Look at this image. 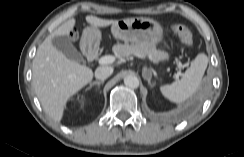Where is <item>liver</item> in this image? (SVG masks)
<instances>
[{
    "mask_svg": "<svg viewBox=\"0 0 244 157\" xmlns=\"http://www.w3.org/2000/svg\"><path fill=\"white\" fill-rule=\"evenodd\" d=\"M118 20H106L86 16L87 28H92L100 37L99 28L113 25ZM76 20L70 19L52 32L38 47L32 63V85L46 114L55 122L64 115L67 101L92 81L91 68L67 58L52 43L55 36L68 35ZM88 43L94 36L83 33Z\"/></svg>",
    "mask_w": 244,
    "mask_h": 157,
    "instance_id": "obj_1",
    "label": "liver"
}]
</instances>
